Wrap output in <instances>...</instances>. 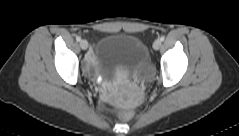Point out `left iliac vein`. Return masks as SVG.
Instances as JSON below:
<instances>
[{"label":"left iliac vein","instance_id":"obj_1","mask_svg":"<svg viewBox=\"0 0 239 136\" xmlns=\"http://www.w3.org/2000/svg\"><path fill=\"white\" fill-rule=\"evenodd\" d=\"M161 46V41L160 40H156L154 43H153V48L155 50H158Z\"/></svg>","mask_w":239,"mask_h":136}]
</instances>
